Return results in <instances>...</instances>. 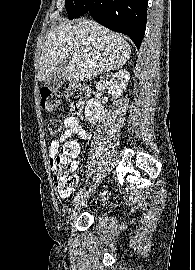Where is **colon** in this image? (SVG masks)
I'll use <instances>...</instances> for the list:
<instances>
[{"label":"colon","instance_id":"colon-1","mask_svg":"<svg viewBox=\"0 0 195 270\" xmlns=\"http://www.w3.org/2000/svg\"><path fill=\"white\" fill-rule=\"evenodd\" d=\"M88 88L82 84H72L65 88V97L69 104L70 112L79 115L88 98ZM61 99L59 91L42 89L40 91L41 106L45 111H53L57 108ZM51 135H58L63 130V124L59 119H50L47 123ZM79 153V146L75 141L66 142L59 155L54 160L53 180L57 192L60 195L68 194L77 184L78 178L74 173L73 158Z\"/></svg>","mask_w":195,"mask_h":270}]
</instances>
